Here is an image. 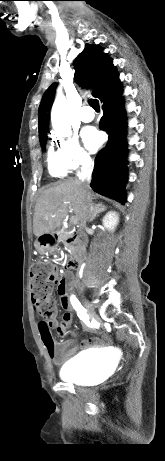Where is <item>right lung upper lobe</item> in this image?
Returning a JSON list of instances; mask_svg holds the SVG:
<instances>
[{
    "mask_svg": "<svg viewBox=\"0 0 165 461\" xmlns=\"http://www.w3.org/2000/svg\"><path fill=\"white\" fill-rule=\"evenodd\" d=\"M75 79L87 89L92 88V95L107 103L122 92L118 72L112 59L103 52L99 45L86 44L84 50L74 62ZM57 84L53 83L44 93L39 106V137L48 132V118L45 114L51 107Z\"/></svg>",
    "mask_w": 165,
    "mask_h": 461,
    "instance_id": "right-lung-upper-lobe-1",
    "label": "right lung upper lobe"
}]
</instances>
